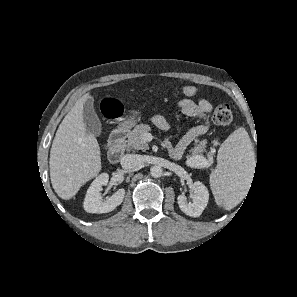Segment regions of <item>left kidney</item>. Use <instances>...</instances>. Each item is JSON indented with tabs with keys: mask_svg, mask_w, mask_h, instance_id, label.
Returning a JSON list of instances; mask_svg holds the SVG:
<instances>
[{
	"mask_svg": "<svg viewBox=\"0 0 297 297\" xmlns=\"http://www.w3.org/2000/svg\"><path fill=\"white\" fill-rule=\"evenodd\" d=\"M194 197L192 203H187L184 195H179L177 198L179 208L186 215L198 217L202 214L209 200V192L207 187L200 181L193 184Z\"/></svg>",
	"mask_w": 297,
	"mask_h": 297,
	"instance_id": "obj_1",
	"label": "left kidney"
}]
</instances>
